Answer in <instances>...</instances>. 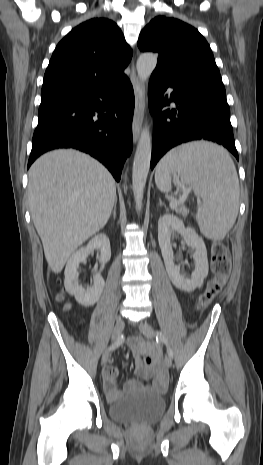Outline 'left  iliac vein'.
Returning <instances> with one entry per match:
<instances>
[{
    "mask_svg": "<svg viewBox=\"0 0 263 465\" xmlns=\"http://www.w3.org/2000/svg\"><path fill=\"white\" fill-rule=\"evenodd\" d=\"M138 328L142 332V334L149 339L155 336V331L153 327L149 325L147 322H140L138 324ZM164 364L167 368H170L172 366V359L169 355L165 356Z\"/></svg>",
    "mask_w": 263,
    "mask_h": 465,
    "instance_id": "1",
    "label": "left iliac vein"
}]
</instances>
